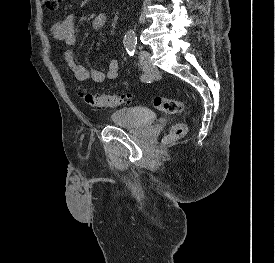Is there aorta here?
I'll list each match as a JSON object with an SVG mask.
<instances>
[{
    "mask_svg": "<svg viewBox=\"0 0 275 263\" xmlns=\"http://www.w3.org/2000/svg\"><path fill=\"white\" fill-rule=\"evenodd\" d=\"M127 36L131 38L133 35H132V33H128Z\"/></svg>",
    "mask_w": 275,
    "mask_h": 263,
    "instance_id": "1",
    "label": "aorta"
}]
</instances>
